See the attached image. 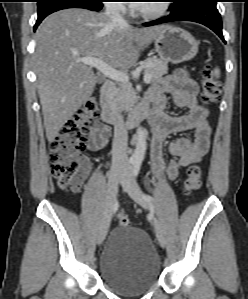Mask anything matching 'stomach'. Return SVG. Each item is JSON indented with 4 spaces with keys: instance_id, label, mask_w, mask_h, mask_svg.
<instances>
[{
    "instance_id": "obj_1",
    "label": "stomach",
    "mask_w": 248,
    "mask_h": 299,
    "mask_svg": "<svg viewBox=\"0 0 248 299\" xmlns=\"http://www.w3.org/2000/svg\"><path fill=\"white\" fill-rule=\"evenodd\" d=\"M154 45L163 61L174 64L188 61L198 52L195 38L186 30L171 25L163 27L154 39Z\"/></svg>"
}]
</instances>
